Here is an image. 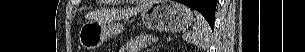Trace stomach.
I'll list each match as a JSON object with an SVG mask.
<instances>
[{
    "instance_id": "0dacf381",
    "label": "stomach",
    "mask_w": 305,
    "mask_h": 52,
    "mask_svg": "<svg viewBox=\"0 0 305 52\" xmlns=\"http://www.w3.org/2000/svg\"><path fill=\"white\" fill-rule=\"evenodd\" d=\"M141 22L148 28L164 32H181L192 25V10L170 0H153L140 15ZM124 30L119 21H89L83 24L78 33L80 45L93 52L108 39L119 35Z\"/></svg>"
}]
</instances>
